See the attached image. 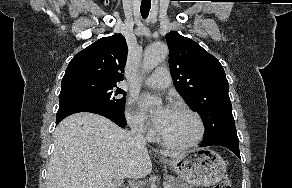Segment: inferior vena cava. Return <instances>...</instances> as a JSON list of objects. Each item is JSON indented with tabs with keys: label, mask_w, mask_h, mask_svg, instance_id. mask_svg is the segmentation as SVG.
Returning <instances> with one entry per match:
<instances>
[{
	"label": "inferior vena cava",
	"mask_w": 292,
	"mask_h": 188,
	"mask_svg": "<svg viewBox=\"0 0 292 188\" xmlns=\"http://www.w3.org/2000/svg\"><path fill=\"white\" fill-rule=\"evenodd\" d=\"M131 130L127 133V138L132 145L145 146L144 127L141 120H134L130 122Z\"/></svg>",
	"instance_id": "602c4592"
}]
</instances>
